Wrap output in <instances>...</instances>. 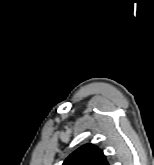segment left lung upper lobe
<instances>
[{
    "label": "left lung upper lobe",
    "instance_id": "1",
    "mask_svg": "<svg viewBox=\"0 0 154 165\" xmlns=\"http://www.w3.org/2000/svg\"><path fill=\"white\" fill-rule=\"evenodd\" d=\"M62 165H108L103 152L92 144L75 150Z\"/></svg>",
    "mask_w": 154,
    "mask_h": 165
}]
</instances>
